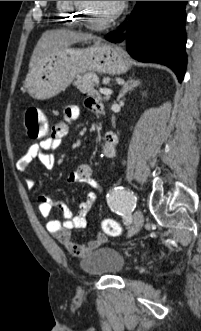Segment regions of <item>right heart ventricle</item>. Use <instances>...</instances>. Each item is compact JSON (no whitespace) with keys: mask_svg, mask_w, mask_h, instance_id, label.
<instances>
[{"mask_svg":"<svg viewBox=\"0 0 201 331\" xmlns=\"http://www.w3.org/2000/svg\"><path fill=\"white\" fill-rule=\"evenodd\" d=\"M56 6L59 11V18L67 26H75L77 23L76 17L78 13L73 8V1H56Z\"/></svg>","mask_w":201,"mask_h":331,"instance_id":"1","label":"right heart ventricle"}]
</instances>
